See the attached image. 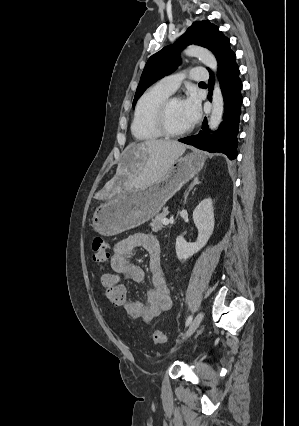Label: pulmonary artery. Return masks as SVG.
<instances>
[{
    "label": "pulmonary artery",
    "instance_id": "1",
    "mask_svg": "<svg viewBox=\"0 0 299 426\" xmlns=\"http://www.w3.org/2000/svg\"><path fill=\"white\" fill-rule=\"evenodd\" d=\"M185 77L186 75L184 73L168 75L162 78L159 84L170 93H173L178 89ZM189 78L195 81L206 80L208 78L207 71L203 67L192 68L189 72Z\"/></svg>",
    "mask_w": 299,
    "mask_h": 426
}]
</instances>
